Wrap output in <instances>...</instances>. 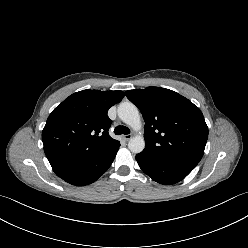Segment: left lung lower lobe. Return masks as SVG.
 <instances>
[{"instance_id": "left-lung-lower-lobe-1", "label": "left lung lower lobe", "mask_w": 248, "mask_h": 248, "mask_svg": "<svg viewBox=\"0 0 248 248\" xmlns=\"http://www.w3.org/2000/svg\"><path fill=\"white\" fill-rule=\"evenodd\" d=\"M139 167L154 181L160 184H174L184 179L192 169L150 159L142 154L136 155Z\"/></svg>"}]
</instances>
